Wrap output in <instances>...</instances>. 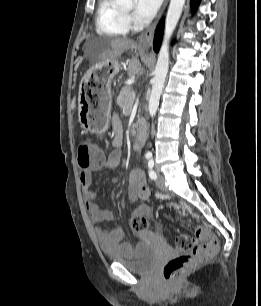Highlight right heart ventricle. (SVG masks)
Instances as JSON below:
<instances>
[{"label": "right heart ventricle", "mask_w": 261, "mask_h": 306, "mask_svg": "<svg viewBox=\"0 0 261 306\" xmlns=\"http://www.w3.org/2000/svg\"><path fill=\"white\" fill-rule=\"evenodd\" d=\"M96 30L100 35L125 36L129 25L125 13L115 0H99L96 13Z\"/></svg>", "instance_id": "e07e8e85"}]
</instances>
